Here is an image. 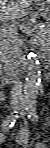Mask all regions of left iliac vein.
<instances>
[{
    "instance_id": "left-iliac-vein-1",
    "label": "left iliac vein",
    "mask_w": 50,
    "mask_h": 148,
    "mask_svg": "<svg viewBox=\"0 0 50 148\" xmlns=\"http://www.w3.org/2000/svg\"><path fill=\"white\" fill-rule=\"evenodd\" d=\"M25 115H26L25 112H22V113H21V116H22V118L24 119L25 124L28 125V123H27V121H26V118H25Z\"/></svg>"
}]
</instances>
